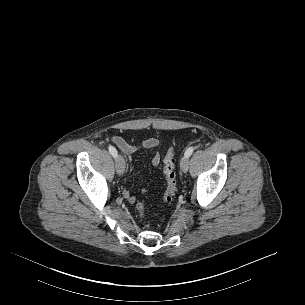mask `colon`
Returning <instances> with one entry per match:
<instances>
[{
    "label": "colon",
    "mask_w": 305,
    "mask_h": 305,
    "mask_svg": "<svg viewBox=\"0 0 305 305\" xmlns=\"http://www.w3.org/2000/svg\"><path fill=\"white\" fill-rule=\"evenodd\" d=\"M163 172L166 181V191L162 197V202L168 204L172 202L176 191H177V181L175 173V151L173 147H170L164 158ZM136 209L138 213L142 216L145 213V205L142 202L136 204Z\"/></svg>",
    "instance_id": "colon-1"
}]
</instances>
